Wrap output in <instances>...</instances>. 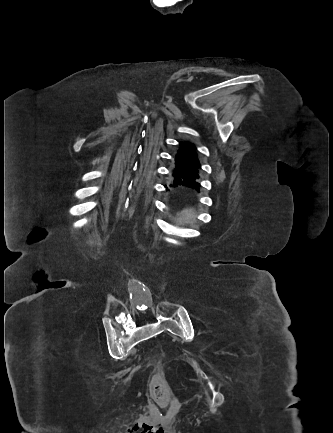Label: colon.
Segmentation results:
<instances>
[{
	"instance_id": "obj_1",
	"label": "colon",
	"mask_w": 333,
	"mask_h": 433,
	"mask_svg": "<svg viewBox=\"0 0 333 433\" xmlns=\"http://www.w3.org/2000/svg\"><path fill=\"white\" fill-rule=\"evenodd\" d=\"M151 395L159 405H167L171 398V387L161 371L156 372L150 381Z\"/></svg>"
}]
</instances>
